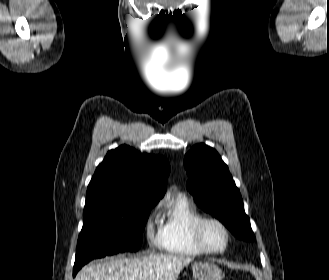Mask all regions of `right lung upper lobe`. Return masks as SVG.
<instances>
[{
  "label": "right lung upper lobe",
  "mask_w": 329,
  "mask_h": 280,
  "mask_svg": "<svg viewBox=\"0 0 329 280\" xmlns=\"http://www.w3.org/2000/svg\"><path fill=\"white\" fill-rule=\"evenodd\" d=\"M170 165L160 155L141 154L127 145L111 150L88 185L84 212L115 199H159L166 192Z\"/></svg>",
  "instance_id": "1"
}]
</instances>
